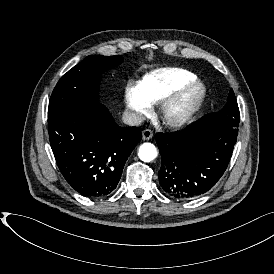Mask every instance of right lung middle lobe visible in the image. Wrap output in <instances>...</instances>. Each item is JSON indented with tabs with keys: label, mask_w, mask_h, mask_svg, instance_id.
I'll list each match as a JSON object with an SVG mask.
<instances>
[{
	"label": "right lung middle lobe",
	"mask_w": 274,
	"mask_h": 274,
	"mask_svg": "<svg viewBox=\"0 0 274 274\" xmlns=\"http://www.w3.org/2000/svg\"><path fill=\"white\" fill-rule=\"evenodd\" d=\"M122 61L121 56L90 55L71 68L61 77L52 92L48 118L70 107L99 102L102 72Z\"/></svg>",
	"instance_id": "1"
}]
</instances>
